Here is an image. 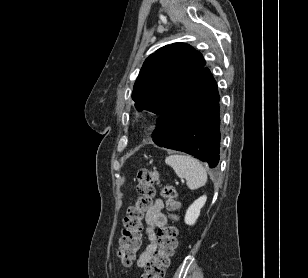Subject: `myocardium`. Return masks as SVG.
<instances>
[{
	"label": "myocardium",
	"mask_w": 308,
	"mask_h": 278,
	"mask_svg": "<svg viewBox=\"0 0 308 278\" xmlns=\"http://www.w3.org/2000/svg\"><path fill=\"white\" fill-rule=\"evenodd\" d=\"M148 125L146 122L144 121H140L137 123V128L140 129V130H145L147 129Z\"/></svg>",
	"instance_id": "obj_1"
}]
</instances>
